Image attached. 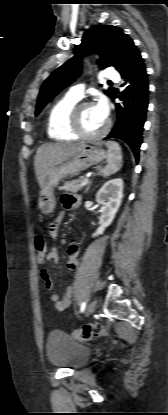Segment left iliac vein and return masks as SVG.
Instances as JSON below:
<instances>
[{
    "instance_id": "obj_1",
    "label": "left iliac vein",
    "mask_w": 168,
    "mask_h": 415,
    "mask_svg": "<svg viewBox=\"0 0 168 415\" xmlns=\"http://www.w3.org/2000/svg\"><path fill=\"white\" fill-rule=\"evenodd\" d=\"M95 309H96V302L91 301L87 306L86 315L87 316L92 315L95 312Z\"/></svg>"
}]
</instances>
